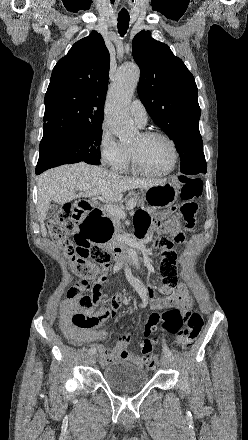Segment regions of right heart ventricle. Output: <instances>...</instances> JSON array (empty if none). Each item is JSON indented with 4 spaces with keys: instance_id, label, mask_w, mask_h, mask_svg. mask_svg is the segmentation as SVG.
Here are the masks:
<instances>
[{
    "instance_id": "right-heart-ventricle-1",
    "label": "right heart ventricle",
    "mask_w": 248,
    "mask_h": 440,
    "mask_svg": "<svg viewBox=\"0 0 248 440\" xmlns=\"http://www.w3.org/2000/svg\"><path fill=\"white\" fill-rule=\"evenodd\" d=\"M128 155L127 160L124 163V165L120 168L121 171H130L132 170V164H131V155H130V149H127Z\"/></svg>"
}]
</instances>
